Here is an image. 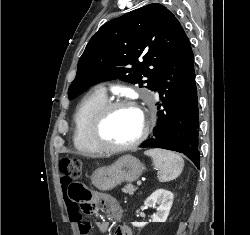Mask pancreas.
<instances>
[{
    "instance_id": "obj_1",
    "label": "pancreas",
    "mask_w": 250,
    "mask_h": 235,
    "mask_svg": "<svg viewBox=\"0 0 250 235\" xmlns=\"http://www.w3.org/2000/svg\"><path fill=\"white\" fill-rule=\"evenodd\" d=\"M136 189L137 188L134 185L128 184L122 189V191L128 193L129 195H133Z\"/></svg>"
}]
</instances>
